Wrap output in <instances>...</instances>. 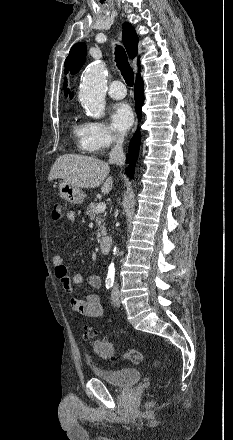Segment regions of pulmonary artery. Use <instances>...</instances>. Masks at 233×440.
Returning <instances> with one entry per match:
<instances>
[{
	"instance_id": "obj_1",
	"label": "pulmonary artery",
	"mask_w": 233,
	"mask_h": 440,
	"mask_svg": "<svg viewBox=\"0 0 233 440\" xmlns=\"http://www.w3.org/2000/svg\"><path fill=\"white\" fill-rule=\"evenodd\" d=\"M108 94L114 99H123L126 95V89L121 81L115 80L110 83Z\"/></svg>"
}]
</instances>
